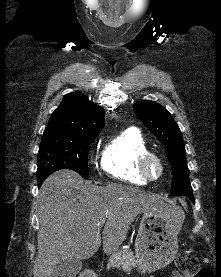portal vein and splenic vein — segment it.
<instances>
[{
	"label": "portal vein and splenic vein",
	"instance_id": "portal-vein-and-splenic-vein-1",
	"mask_svg": "<svg viewBox=\"0 0 221 277\" xmlns=\"http://www.w3.org/2000/svg\"><path fill=\"white\" fill-rule=\"evenodd\" d=\"M106 220H105V218H103V219H101L100 221H99V225H102L104 222H105Z\"/></svg>",
	"mask_w": 221,
	"mask_h": 277
}]
</instances>
